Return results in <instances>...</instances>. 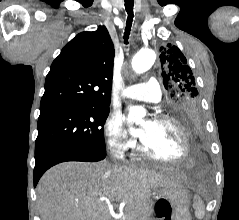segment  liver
I'll list each match as a JSON object with an SVG mask.
<instances>
[{"label": "liver", "instance_id": "1", "mask_svg": "<svg viewBox=\"0 0 239 220\" xmlns=\"http://www.w3.org/2000/svg\"><path fill=\"white\" fill-rule=\"evenodd\" d=\"M187 182L182 174L164 175L107 161L65 162L49 169L37 185L42 220H111L108 201H123L126 212L144 211L151 190Z\"/></svg>", "mask_w": 239, "mask_h": 220}]
</instances>
